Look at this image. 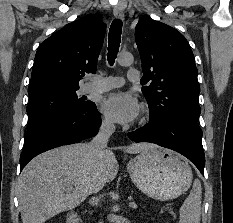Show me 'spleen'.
<instances>
[{
  "mask_svg": "<svg viewBox=\"0 0 233 223\" xmlns=\"http://www.w3.org/2000/svg\"><path fill=\"white\" fill-rule=\"evenodd\" d=\"M201 189L199 179H195L188 197H186L180 207V223H200Z\"/></svg>",
  "mask_w": 233,
  "mask_h": 223,
  "instance_id": "spleen-1",
  "label": "spleen"
}]
</instances>
